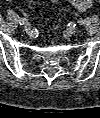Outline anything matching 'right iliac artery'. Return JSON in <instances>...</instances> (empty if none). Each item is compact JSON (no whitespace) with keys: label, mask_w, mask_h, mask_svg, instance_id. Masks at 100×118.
I'll return each instance as SVG.
<instances>
[{"label":"right iliac artery","mask_w":100,"mask_h":118,"mask_svg":"<svg viewBox=\"0 0 100 118\" xmlns=\"http://www.w3.org/2000/svg\"><path fill=\"white\" fill-rule=\"evenodd\" d=\"M19 23H20V25H25V27H27V25H28V19L21 18Z\"/></svg>","instance_id":"82829eb1"}]
</instances>
